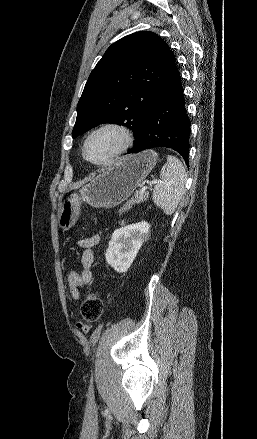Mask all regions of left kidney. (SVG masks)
<instances>
[{
    "label": "left kidney",
    "instance_id": "obj_1",
    "mask_svg": "<svg viewBox=\"0 0 257 439\" xmlns=\"http://www.w3.org/2000/svg\"><path fill=\"white\" fill-rule=\"evenodd\" d=\"M149 229L150 225L145 221L116 229L105 253L107 263L119 273L127 272L149 237Z\"/></svg>",
    "mask_w": 257,
    "mask_h": 439
}]
</instances>
